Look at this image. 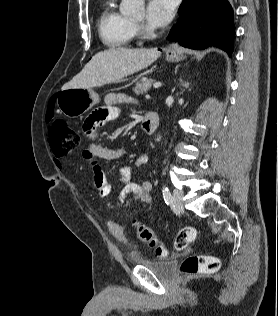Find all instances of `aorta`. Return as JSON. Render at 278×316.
<instances>
[{"mask_svg":"<svg viewBox=\"0 0 278 316\" xmlns=\"http://www.w3.org/2000/svg\"><path fill=\"white\" fill-rule=\"evenodd\" d=\"M120 12L125 16H141L144 13V0H122Z\"/></svg>","mask_w":278,"mask_h":316,"instance_id":"obj_1","label":"aorta"}]
</instances>
